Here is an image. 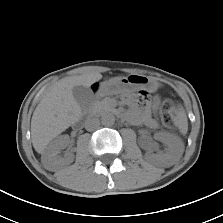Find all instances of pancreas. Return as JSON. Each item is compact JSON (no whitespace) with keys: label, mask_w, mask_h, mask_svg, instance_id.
Wrapping results in <instances>:
<instances>
[{"label":"pancreas","mask_w":223,"mask_h":223,"mask_svg":"<svg viewBox=\"0 0 223 223\" xmlns=\"http://www.w3.org/2000/svg\"><path fill=\"white\" fill-rule=\"evenodd\" d=\"M112 109L111 99L104 98L101 101H95L90 105V110L93 114H102Z\"/></svg>","instance_id":"obj_1"}]
</instances>
